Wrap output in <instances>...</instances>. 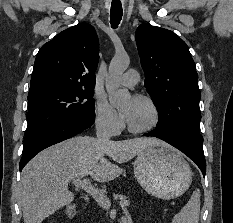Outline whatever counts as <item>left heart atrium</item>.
I'll use <instances>...</instances> for the list:
<instances>
[{
	"label": "left heart atrium",
	"mask_w": 233,
	"mask_h": 223,
	"mask_svg": "<svg viewBox=\"0 0 233 223\" xmlns=\"http://www.w3.org/2000/svg\"><path fill=\"white\" fill-rule=\"evenodd\" d=\"M135 100L136 98H132L120 111L121 118L127 124H129L133 119L136 107Z\"/></svg>",
	"instance_id": "left-heart-atrium-1"
}]
</instances>
